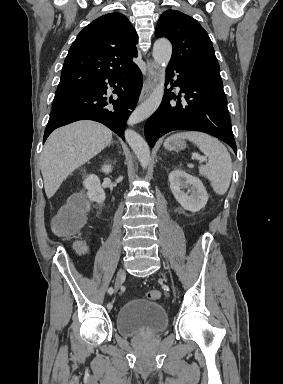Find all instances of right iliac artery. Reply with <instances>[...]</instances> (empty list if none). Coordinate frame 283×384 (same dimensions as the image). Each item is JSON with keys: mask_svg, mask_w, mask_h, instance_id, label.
<instances>
[{"mask_svg": "<svg viewBox=\"0 0 283 384\" xmlns=\"http://www.w3.org/2000/svg\"><path fill=\"white\" fill-rule=\"evenodd\" d=\"M108 293H109L110 295H112V293H113V288H112V287H110V288L108 289ZM112 307H113L112 303H108V304H107V308H108V309H111Z\"/></svg>", "mask_w": 283, "mask_h": 384, "instance_id": "82829eb1", "label": "right iliac artery"}]
</instances>
